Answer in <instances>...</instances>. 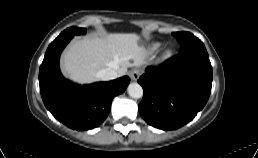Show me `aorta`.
Returning a JSON list of instances; mask_svg holds the SVG:
<instances>
[{"label":"aorta","mask_w":258,"mask_h":158,"mask_svg":"<svg viewBox=\"0 0 258 158\" xmlns=\"http://www.w3.org/2000/svg\"><path fill=\"white\" fill-rule=\"evenodd\" d=\"M128 94L135 99H139L143 96V89L138 83H130L127 88Z\"/></svg>","instance_id":"aorta-1"}]
</instances>
